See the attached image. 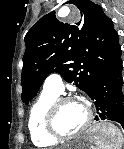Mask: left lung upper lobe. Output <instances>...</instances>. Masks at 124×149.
<instances>
[{
    "label": "left lung upper lobe",
    "instance_id": "left-lung-upper-lobe-1",
    "mask_svg": "<svg viewBox=\"0 0 124 149\" xmlns=\"http://www.w3.org/2000/svg\"><path fill=\"white\" fill-rule=\"evenodd\" d=\"M84 16L82 28L56 19L55 11L43 16L26 34L22 68V101L35 97L45 78L59 73L87 92L122 55L118 33L102 7L89 0H72Z\"/></svg>",
    "mask_w": 124,
    "mask_h": 149
}]
</instances>
